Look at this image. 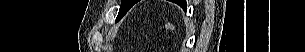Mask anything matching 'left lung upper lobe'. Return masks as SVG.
Returning a JSON list of instances; mask_svg holds the SVG:
<instances>
[{"instance_id": "obj_1", "label": "left lung upper lobe", "mask_w": 305, "mask_h": 52, "mask_svg": "<svg viewBox=\"0 0 305 52\" xmlns=\"http://www.w3.org/2000/svg\"><path fill=\"white\" fill-rule=\"evenodd\" d=\"M135 3H136L135 0H122L117 19H121ZM177 3L184 7L183 2L181 3L177 2Z\"/></svg>"}]
</instances>
